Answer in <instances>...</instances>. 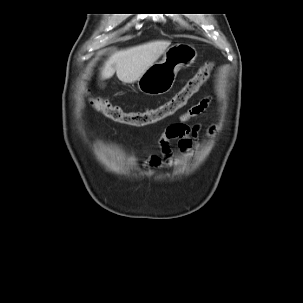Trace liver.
Listing matches in <instances>:
<instances>
[{
    "instance_id": "6515ba94",
    "label": "liver",
    "mask_w": 303,
    "mask_h": 303,
    "mask_svg": "<svg viewBox=\"0 0 303 303\" xmlns=\"http://www.w3.org/2000/svg\"><path fill=\"white\" fill-rule=\"evenodd\" d=\"M170 41L156 40L128 49L115 51L101 69V79H109L114 73L123 83H134L153 65L169 47Z\"/></svg>"
}]
</instances>
